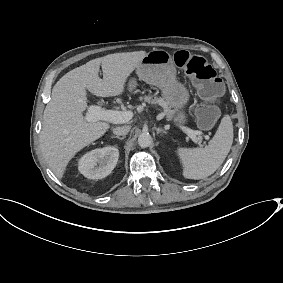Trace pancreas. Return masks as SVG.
<instances>
[{"instance_id":"1","label":"pancreas","mask_w":283,"mask_h":283,"mask_svg":"<svg viewBox=\"0 0 283 283\" xmlns=\"http://www.w3.org/2000/svg\"><path fill=\"white\" fill-rule=\"evenodd\" d=\"M144 100L150 104H154V105H160L163 109H164V114L165 115H170V110L168 109V104L163 101L162 99L159 100H152L150 96H147L144 98Z\"/></svg>"}]
</instances>
